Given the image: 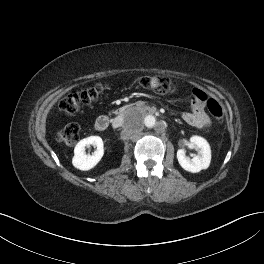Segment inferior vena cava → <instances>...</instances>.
<instances>
[{"instance_id": "inferior-vena-cava-1", "label": "inferior vena cava", "mask_w": 264, "mask_h": 264, "mask_svg": "<svg viewBox=\"0 0 264 264\" xmlns=\"http://www.w3.org/2000/svg\"><path fill=\"white\" fill-rule=\"evenodd\" d=\"M122 124H123V120L120 119V118L115 119V120L113 121V127L122 126Z\"/></svg>"}]
</instances>
